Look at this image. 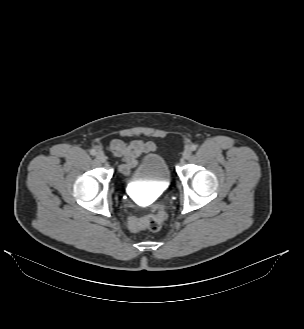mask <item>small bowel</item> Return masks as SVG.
<instances>
[{"label": "small bowel", "mask_w": 304, "mask_h": 329, "mask_svg": "<svg viewBox=\"0 0 304 329\" xmlns=\"http://www.w3.org/2000/svg\"><path fill=\"white\" fill-rule=\"evenodd\" d=\"M107 149L114 156L121 158L122 164L119 170L123 175L128 176L140 161L142 154L155 150V144L141 139H135L129 143H125L120 139H114L107 146Z\"/></svg>", "instance_id": "small-bowel-1"}]
</instances>
